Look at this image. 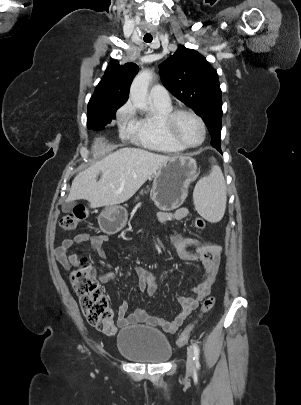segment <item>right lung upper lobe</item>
<instances>
[{"label": "right lung upper lobe", "mask_w": 301, "mask_h": 405, "mask_svg": "<svg viewBox=\"0 0 301 405\" xmlns=\"http://www.w3.org/2000/svg\"><path fill=\"white\" fill-rule=\"evenodd\" d=\"M138 72L135 63H126L120 66L113 61L105 71V75L97 85L88 106L101 105L116 109L128 99L131 82Z\"/></svg>", "instance_id": "1"}]
</instances>
